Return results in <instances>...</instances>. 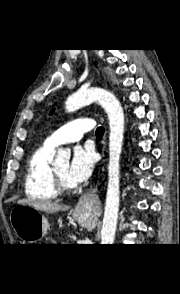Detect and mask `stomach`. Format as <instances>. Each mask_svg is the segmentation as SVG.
<instances>
[{
  "label": "stomach",
  "instance_id": "stomach-1",
  "mask_svg": "<svg viewBox=\"0 0 180 294\" xmlns=\"http://www.w3.org/2000/svg\"><path fill=\"white\" fill-rule=\"evenodd\" d=\"M73 218L83 227L95 226V220L87 211L74 212ZM10 220L16 235L26 244L40 241L47 233V219L31 206L16 205L11 211Z\"/></svg>",
  "mask_w": 180,
  "mask_h": 294
}]
</instances>
